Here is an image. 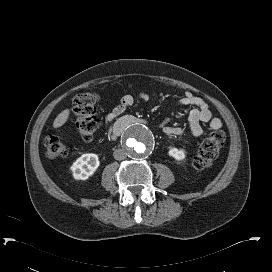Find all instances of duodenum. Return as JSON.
I'll use <instances>...</instances> for the list:
<instances>
[{
    "instance_id": "duodenum-1",
    "label": "duodenum",
    "mask_w": 272,
    "mask_h": 272,
    "mask_svg": "<svg viewBox=\"0 0 272 272\" xmlns=\"http://www.w3.org/2000/svg\"><path fill=\"white\" fill-rule=\"evenodd\" d=\"M128 122H130V119L115 122L110 131L111 138L117 139L122 134Z\"/></svg>"
}]
</instances>
